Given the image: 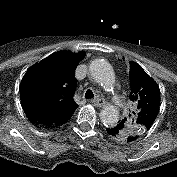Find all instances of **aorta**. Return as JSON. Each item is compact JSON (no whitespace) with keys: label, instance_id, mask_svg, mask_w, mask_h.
<instances>
[{"label":"aorta","instance_id":"762f6f07","mask_svg":"<svg viewBox=\"0 0 177 177\" xmlns=\"http://www.w3.org/2000/svg\"><path fill=\"white\" fill-rule=\"evenodd\" d=\"M89 71L92 78L102 87L112 88L115 83V75L112 66L104 59H96L91 62ZM101 122L105 126H115L119 120V111L112 105H106L100 112Z\"/></svg>","mask_w":177,"mask_h":177}]
</instances>
